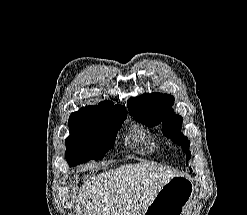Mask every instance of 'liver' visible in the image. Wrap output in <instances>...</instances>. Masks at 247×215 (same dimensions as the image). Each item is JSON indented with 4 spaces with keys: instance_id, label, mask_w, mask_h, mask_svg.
Here are the masks:
<instances>
[{
    "instance_id": "obj_1",
    "label": "liver",
    "mask_w": 247,
    "mask_h": 215,
    "mask_svg": "<svg viewBox=\"0 0 247 215\" xmlns=\"http://www.w3.org/2000/svg\"><path fill=\"white\" fill-rule=\"evenodd\" d=\"M179 174L157 164H126L84 183L80 215H142L158 191Z\"/></svg>"
}]
</instances>
